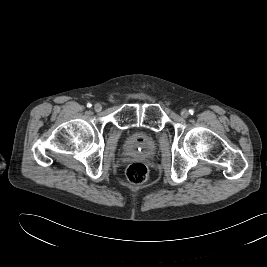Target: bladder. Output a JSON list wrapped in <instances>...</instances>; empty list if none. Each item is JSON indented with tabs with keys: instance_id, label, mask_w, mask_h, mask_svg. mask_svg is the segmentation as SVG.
<instances>
[{
	"instance_id": "31cf9c89",
	"label": "bladder",
	"mask_w": 267,
	"mask_h": 267,
	"mask_svg": "<svg viewBox=\"0 0 267 267\" xmlns=\"http://www.w3.org/2000/svg\"><path fill=\"white\" fill-rule=\"evenodd\" d=\"M125 149L128 153H137L149 157L156 151V141L147 132L134 131L128 135L125 142Z\"/></svg>"
}]
</instances>
